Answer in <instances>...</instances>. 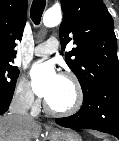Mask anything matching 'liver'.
I'll return each mask as SVG.
<instances>
[{
  "label": "liver",
  "instance_id": "obj_1",
  "mask_svg": "<svg viewBox=\"0 0 119 141\" xmlns=\"http://www.w3.org/2000/svg\"><path fill=\"white\" fill-rule=\"evenodd\" d=\"M41 126L19 116H0V141H32L39 136Z\"/></svg>",
  "mask_w": 119,
  "mask_h": 141
}]
</instances>
